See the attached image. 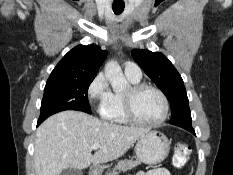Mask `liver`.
Returning a JSON list of instances; mask_svg holds the SVG:
<instances>
[{"mask_svg": "<svg viewBox=\"0 0 233 175\" xmlns=\"http://www.w3.org/2000/svg\"><path fill=\"white\" fill-rule=\"evenodd\" d=\"M149 130L101 121L79 111H63L36 131L34 163L37 175H60L67 168L85 169L123 156ZM99 144L94 155L90 147Z\"/></svg>", "mask_w": 233, "mask_h": 175, "instance_id": "liver-1", "label": "liver"}]
</instances>
